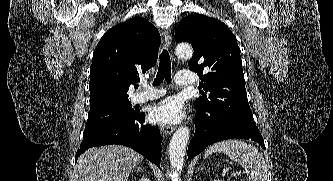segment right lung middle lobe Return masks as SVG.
I'll use <instances>...</instances> for the list:
<instances>
[{
	"label": "right lung middle lobe",
	"instance_id": "right-lung-middle-lobe-1",
	"mask_svg": "<svg viewBox=\"0 0 333 181\" xmlns=\"http://www.w3.org/2000/svg\"><path fill=\"white\" fill-rule=\"evenodd\" d=\"M133 113L134 110L128 99L90 109L85 130L129 116Z\"/></svg>",
	"mask_w": 333,
	"mask_h": 181
}]
</instances>
